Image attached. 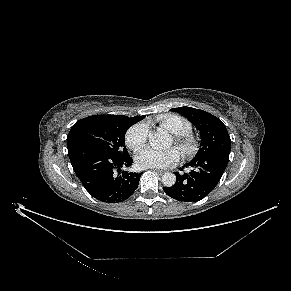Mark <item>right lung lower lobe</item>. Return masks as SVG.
<instances>
[{
    "instance_id": "obj_1",
    "label": "right lung lower lobe",
    "mask_w": 291,
    "mask_h": 291,
    "mask_svg": "<svg viewBox=\"0 0 291 291\" xmlns=\"http://www.w3.org/2000/svg\"><path fill=\"white\" fill-rule=\"evenodd\" d=\"M67 148L74 172L94 198L106 203H118L129 198L138 187L142 173L120 170L122 166H131L133 161L129 155L117 157L83 142Z\"/></svg>"
}]
</instances>
